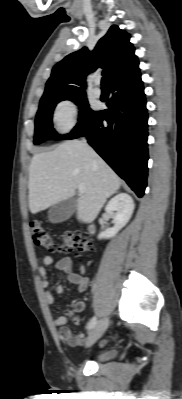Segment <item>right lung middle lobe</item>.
Segmentation results:
<instances>
[{
    "label": "right lung middle lobe",
    "instance_id": "1",
    "mask_svg": "<svg viewBox=\"0 0 182 399\" xmlns=\"http://www.w3.org/2000/svg\"><path fill=\"white\" fill-rule=\"evenodd\" d=\"M62 100H72L80 106L79 123L74 131H80L89 117L94 113L87 103L86 95H63L42 99L35 120L34 144H39L47 139H62L52 126V113L56 104Z\"/></svg>",
    "mask_w": 182,
    "mask_h": 399
}]
</instances>
